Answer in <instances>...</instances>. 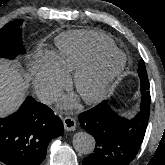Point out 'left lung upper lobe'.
<instances>
[{"instance_id": "1", "label": "left lung upper lobe", "mask_w": 165, "mask_h": 165, "mask_svg": "<svg viewBox=\"0 0 165 165\" xmlns=\"http://www.w3.org/2000/svg\"><path fill=\"white\" fill-rule=\"evenodd\" d=\"M138 74L141 81V91L143 93L141 105L150 108L149 81L143 60L139 61Z\"/></svg>"}]
</instances>
